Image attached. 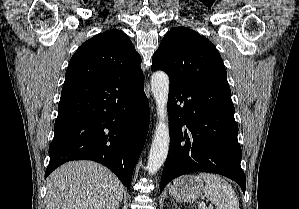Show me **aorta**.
Masks as SVG:
<instances>
[{
	"label": "aorta",
	"mask_w": 299,
	"mask_h": 209,
	"mask_svg": "<svg viewBox=\"0 0 299 209\" xmlns=\"http://www.w3.org/2000/svg\"><path fill=\"white\" fill-rule=\"evenodd\" d=\"M151 91L156 102L158 114V122L154 132L147 164L148 173L153 175L164 164L168 155L170 143L167 113L169 77L165 72L156 71L153 73L151 78Z\"/></svg>",
	"instance_id": "1"
}]
</instances>
